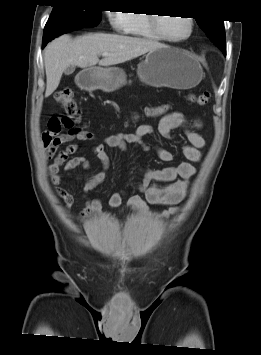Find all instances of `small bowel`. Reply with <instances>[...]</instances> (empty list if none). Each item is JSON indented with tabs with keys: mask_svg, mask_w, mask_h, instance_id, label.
<instances>
[{
	"mask_svg": "<svg viewBox=\"0 0 261 355\" xmlns=\"http://www.w3.org/2000/svg\"><path fill=\"white\" fill-rule=\"evenodd\" d=\"M62 126L68 127V131L60 133V130L53 131L48 127L49 130L42 133L41 141L45 158L52 161L48 167L51 186L55 195L64 202V209L68 211L74 203V197L61 187V183L66 179L74 178L71 173L73 170L79 167L84 170L91 168V162L88 159L72 155L82 147L83 143L94 141L95 136L89 131L66 125L64 122H62ZM200 127V120H195L191 125L181 112L173 111L166 114L159 122L158 131L166 138H172L173 132L176 130L182 132L186 142L180 145V151L188 162L163 168L141 167V183L129 191L111 194L108 199L109 208L119 207L123 196L127 195V206L132 211L144 216L169 218L177 214L180 211L179 205L188 194L190 180L195 174L192 163L200 161L202 157L200 149L205 145V141L198 133ZM153 132L154 129L150 125H141L134 133L109 135L103 139V142H97L92 146L91 150L100 162V171L82 185L81 196L85 199V206L78 215V221H83L91 216L104 217L106 215L101 200L89 197V193L104 182L106 174L111 168L106 146L126 154L130 153V146H132L146 153L153 151L164 162L173 161L174 155L170 151L158 145L150 146L144 141V137ZM63 145L66 147L60 149ZM75 178L80 180L78 177ZM153 182H165L167 185L155 186L152 185ZM151 205H163L167 208L154 212L150 209Z\"/></svg>",
	"mask_w": 261,
	"mask_h": 355,
	"instance_id": "1",
	"label": "small bowel"
}]
</instances>
